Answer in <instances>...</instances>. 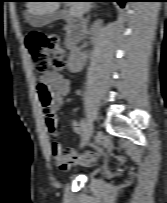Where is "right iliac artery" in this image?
<instances>
[{"label": "right iliac artery", "mask_w": 167, "mask_h": 203, "mask_svg": "<svg viewBox=\"0 0 167 203\" xmlns=\"http://www.w3.org/2000/svg\"><path fill=\"white\" fill-rule=\"evenodd\" d=\"M87 127V122L85 119L81 120V131L84 133L85 129Z\"/></svg>", "instance_id": "right-iliac-artery-1"}]
</instances>
